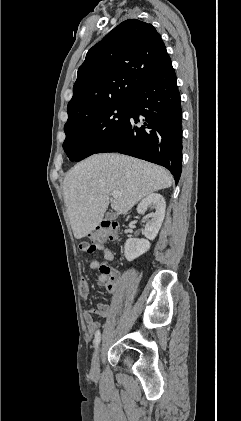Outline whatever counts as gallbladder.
<instances>
[{"label":"gallbladder","mask_w":241,"mask_h":421,"mask_svg":"<svg viewBox=\"0 0 241 421\" xmlns=\"http://www.w3.org/2000/svg\"><path fill=\"white\" fill-rule=\"evenodd\" d=\"M116 217V214L115 213H113V212H108L106 215H105V218L106 219H108V220H112V219H114Z\"/></svg>","instance_id":"obj_1"}]
</instances>
